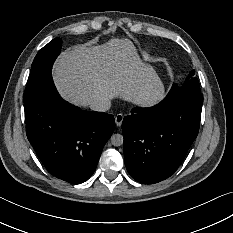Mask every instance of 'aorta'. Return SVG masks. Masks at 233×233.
Returning <instances> with one entry per match:
<instances>
[{"label":"aorta","mask_w":233,"mask_h":233,"mask_svg":"<svg viewBox=\"0 0 233 233\" xmlns=\"http://www.w3.org/2000/svg\"><path fill=\"white\" fill-rule=\"evenodd\" d=\"M110 140L114 146H121L123 144V136L121 134H113Z\"/></svg>","instance_id":"762f6f07"}]
</instances>
